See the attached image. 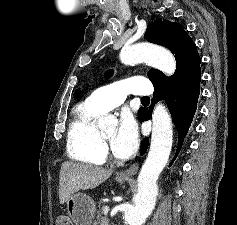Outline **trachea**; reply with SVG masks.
<instances>
[{
  "instance_id": "trachea-1",
  "label": "trachea",
  "mask_w": 237,
  "mask_h": 225,
  "mask_svg": "<svg viewBox=\"0 0 237 225\" xmlns=\"http://www.w3.org/2000/svg\"><path fill=\"white\" fill-rule=\"evenodd\" d=\"M141 101L149 102V101H150V98H149L148 96H146V97H143Z\"/></svg>"
}]
</instances>
